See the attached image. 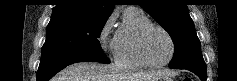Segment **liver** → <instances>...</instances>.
I'll return each instance as SVG.
<instances>
[{"instance_id":"obj_1","label":"liver","mask_w":237,"mask_h":81,"mask_svg":"<svg viewBox=\"0 0 237 81\" xmlns=\"http://www.w3.org/2000/svg\"><path fill=\"white\" fill-rule=\"evenodd\" d=\"M164 74L160 70L124 72L112 65L79 62L63 69L54 81H151Z\"/></svg>"}]
</instances>
